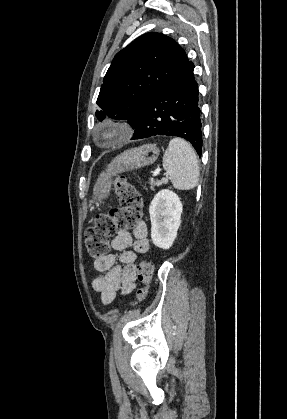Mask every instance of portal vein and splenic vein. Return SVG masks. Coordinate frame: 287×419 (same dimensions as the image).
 Returning <instances> with one entry per match:
<instances>
[{"mask_svg":"<svg viewBox=\"0 0 287 419\" xmlns=\"http://www.w3.org/2000/svg\"><path fill=\"white\" fill-rule=\"evenodd\" d=\"M160 173V169L155 170V172L153 173V176H157ZM163 182H167L166 178L162 179Z\"/></svg>","mask_w":287,"mask_h":419,"instance_id":"1","label":"portal vein and splenic vein"}]
</instances>
